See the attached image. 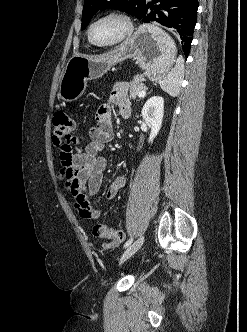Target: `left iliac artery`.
I'll use <instances>...</instances> for the list:
<instances>
[{"label": "left iliac artery", "instance_id": "44dca946", "mask_svg": "<svg viewBox=\"0 0 247 332\" xmlns=\"http://www.w3.org/2000/svg\"><path fill=\"white\" fill-rule=\"evenodd\" d=\"M133 242V237H131L129 240L126 241L124 244V248L128 247Z\"/></svg>", "mask_w": 247, "mask_h": 332}]
</instances>
